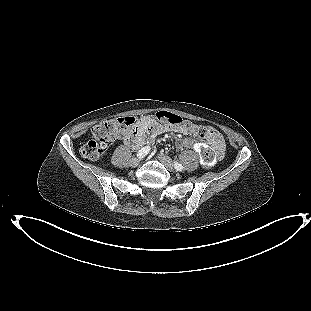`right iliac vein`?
<instances>
[{"mask_svg": "<svg viewBox=\"0 0 311 311\" xmlns=\"http://www.w3.org/2000/svg\"><path fill=\"white\" fill-rule=\"evenodd\" d=\"M140 161H141L140 158H133V159L130 161V165H131L132 167H137V166L140 164Z\"/></svg>", "mask_w": 311, "mask_h": 311, "instance_id": "63e3f726", "label": "right iliac vein"}]
</instances>
